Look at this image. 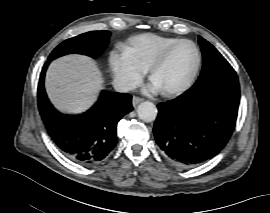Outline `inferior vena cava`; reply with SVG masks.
I'll return each instance as SVG.
<instances>
[{"label":"inferior vena cava","mask_w":270,"mask_h":213,"mask_svg":"<svg viewBox=\"0 0 270 213\" xmlns=\"http://www.w3.org/2000/svg\"><path fill=\"white\" fill-rule=\"evenodd\" d=\"M113 86L117 92L122 93L134 90L136 88V84L134 82L126 79H115L113 81Z\"/></svg>","instance_id":"1"}]
</instances>
